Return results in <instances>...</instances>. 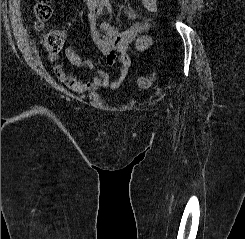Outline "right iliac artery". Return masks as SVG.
<instances>
[{
    "mask_svg": "<svg viewBox=\"0 0 245 239\" xmlns=\"http://www.w3.org/2000/svg\"><path fill=\"white\" fill-rule=\"evenodd\" d=\"M105 1L106 0H102L99 4L98 10H97V15H100L104 9V5H105Z\"/></svg>",
    "mask_w": 245,
    "mask_h": 239,
    "instance_id": "1",
    "label": "right iliac artery"
}]
</instances>
